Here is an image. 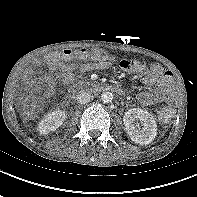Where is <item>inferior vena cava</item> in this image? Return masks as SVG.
Listing matches in <instances>:
<instances>
[{
    "label": "inferior vena cava",
    "mask_w": 197,
    "mask_h": 197,
    "mask_svg": "<svg viewBox=\"0 0 197 197\" xmlns=\"http://www.w3.org/2000/svg\"><path fill=\"white\" fill-rule=\"evenodd\" d=\"M90 99H91V95L89 93H86V92H80L77 95V101L80 104H86L90 101Z\"/></svg>",
    "instance_id": "inferior-vena-cava-1"
}]
</instances>
